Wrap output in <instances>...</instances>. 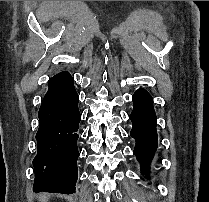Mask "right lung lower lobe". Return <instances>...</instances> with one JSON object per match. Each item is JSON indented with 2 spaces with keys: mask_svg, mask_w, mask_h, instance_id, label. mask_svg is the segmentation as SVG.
<instances>
[{
  "mask_svg": "<svg viewBox=\"0 0 209 202\" xmlns=\"http://www.w3.org/2000/svg\"><path fill=\"white\" fill-rule=\"evenodd\" d=\"M48 86L38 113L33 190L72 194L78 178L79 96L68 72L53 76Z\"/></svg>",
  "mask_w": 209,
  "mask_h": 202,
  "instance_id": "1",
  "label": "right lung lower lobe"
}]
</instances>
